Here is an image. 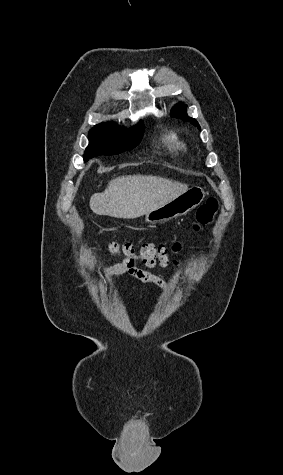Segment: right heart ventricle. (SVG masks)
Returning a JSON list of instances; mask_svg holds the SVG:
<instances>
[{
  "label": "right heart ventricle",
  "instance_id": "right-heart-ventricle-1",
  "mask_svg": "<svg viewBox=\"0 0 283 475\" xmlns=\"http://www.w3.org/2000/svg\"><path fill=\"white\" fill-rule=\"evenodd\" d=\"M166 145L176 153H186L188 144L184 136L176 130H169L164 136Z\"/></svg>",
  "mask_w": 283,
  "mask_h": 475
}]
</instances>
